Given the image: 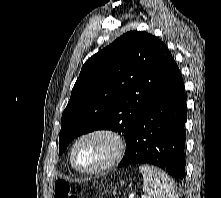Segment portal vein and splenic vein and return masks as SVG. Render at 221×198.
<instances>
[{
    "instance_id": "portal-vein-and-splenic-vein-1",
    "label": "portal vein and splenic vein",
    "mask_w": 221,
    "mask_h": 198,
    "mask_svg": "<svg viewBox=\"0 0 221 198\" xmlns=\"http://www.w3.org/2000/svg\"><path fill=\"white\" fill-rule=\"evenodd\" d=\"M132 197H134V196H132ZM141 198H145L144 196H142Z\"/></svg>"
}]
</instances>
